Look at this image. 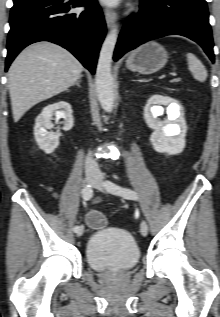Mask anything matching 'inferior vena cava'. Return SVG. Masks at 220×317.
<instances>
[{"label": "inferior vena cava", "instance_id": "1", "mask_svg": "<svg viewBox=\"0 0 220 317\" xmlns=\"http://www.w3.org/2000/svg\"><path fill=\"white\" fill-rule=\"evenodd\" d=\"M85 169L87 172H98L99 171L98 163L96 162V160L94 158H92V156L90 154L86 158Z\"/></svg>", "mask_w": 220, "mask_h": 317}]
</instances>
